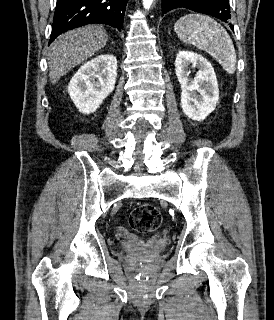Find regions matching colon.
<instances>
[{
	"label": "colon",
	"instance_id": "1",
	"mask_svg": "<svg viewBox=\"0 0 274 320\" xmlns=\"http://www.w3.org/2000/svg\"><path fill=\"white\" fill-rule=\"evenodd\" d=\"M162 222L159 210L150 203H140L130 215V225L136 233H152Z\"/></svg>",
	"mask_w": 274,
	"mask_h": 320
}]
</instances>
